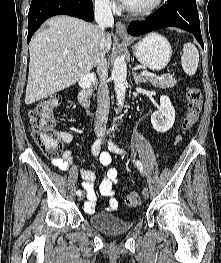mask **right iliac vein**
Listing matches in <instances>:
<instances>
[{
	"instance_id": "63e3f726",
	"label": "right iliac vein",
	"mask_w": 221,
	"mask_h": 263,
	"mask_svg": "<svg viewBox=\"0 0 221 263\" xmlns=\"http://www.w3.org/2000/svg\"><path fill=\"white\" fill-rule=\"evenodd\" d=\"M84 197H85L84 194L78 195V201H82L84 199Z\"/></svg>"
}]
</instances>
